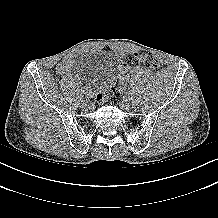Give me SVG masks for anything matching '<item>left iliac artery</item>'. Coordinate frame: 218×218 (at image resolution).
Segmentation results:
<instances>
[{"label": "left iliac artery", "mask_w": 218, "mask_h": 218, "mask_svg": "<svg viewBox=\"0 0 218 218\" xmlns=\"http://www.w3.org/2000/svg\"><path fill=\"white\" fill-rule=\"evenodd\" d=\"M126 99H130V101H135V96H131V94H126Z\"/></svg>", "instance_id": "left-iliac-artery-1"}]
</instances>
